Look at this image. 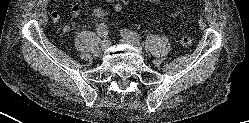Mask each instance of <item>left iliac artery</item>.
Listing matches in <instances>:
<instances>
[{
	"mask_svg": "<svg viewBox=\"0 0 249 123\" xmlns=\"http://www.w3.org/2000/svg\"><path fill=\"white\" fill-rule=\"evenodd\" d=\"M122 33H124L125 35L131 37V38H134V39H137L139 40L140 39V36L137 35L135 32H132L130 30H127V29H124V30H121Z\"/></svg>",
	"mask_w": 249,
	"mask_h": 123,
	"instance_id": "obj_1",
	"label": "left iliac artery"
}]
</instances>
